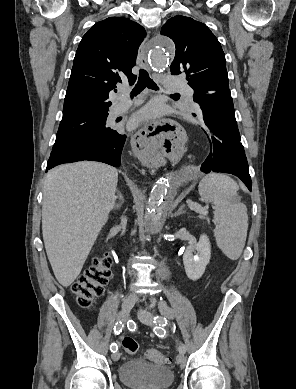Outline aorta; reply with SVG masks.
<instances>
[{
	"label": "aorta",
	"mask_w": 296,
	"mask_h": 389,
	"mask_svg": "<svg viewBox=\"0 0 296 389\" xmlns=\"http://www.w3.org/2000/svg\"><path fill=\"white\" fill-rule=\"evenodd\" d=\"M173 43L167 38H158L152 43V50L149 56V63L156 70H162L165 66H173ZM194 169L185 172L184 180L194 178ZM179 185L172 184L168 179H160L153 186L148 203L146 205L144 223L145 234H152L159 231L166 220L168 210L174 202ZM157 276H163L164 270L158 268L155 271Z\"/></svg>",
	"instance_id": "1"
}]
</instances>
